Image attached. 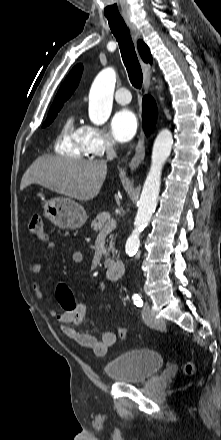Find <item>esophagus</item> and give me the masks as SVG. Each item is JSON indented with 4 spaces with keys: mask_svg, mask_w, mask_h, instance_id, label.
Returning <instances> with one entry per match:
<instances>
[{
    "mask_svg": "<svg viewBox=\"0 0 221 440\" xmlns=\"http://www.w3.org/2000/svg\"><path fill=\"white\" fill-rule=\"evenodd\" d=\"M126 25L131 31V34L135 40L140 38V33L138 29L136 28L135 24L131 21L129 17L124 18ZM143 75H144V93L146 94L148 92V88L150 86V78H151V72L149 65L141 61ZM145 157V134L143 130H141L139 134L138 143L135 148V154L133 158L131 159L129 163V168L131 171L136 170L139 165L142 163Z\"/></svg>",
    "mask_w": 221,
    "mask_h": 440,
    "instance_id": "esophagus-1",
    "label": "esophagus"
}]
</instances>
